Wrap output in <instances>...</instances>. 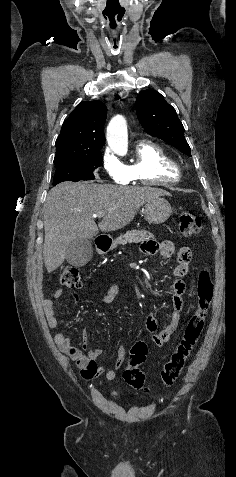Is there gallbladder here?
Listing matches in <instances>:
<instances>
[{"label": "gallbladder", "instance_id": "gallbladder-1", "mask_svg": "<svg viewBox=\"0 0 236 477\" xmlns=\"http://www.w3.org/2000/svg\"><path fill=\"white\" fill-rule=\"evenodd\" d=\"M92 254V242L89 239H75L69 244L65 258L70 265L81 267L88 263Z\"/></svg>", "mask_w": 236, "mask_h": 477}]
</instances>
